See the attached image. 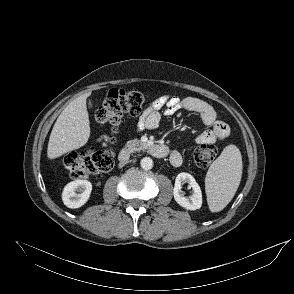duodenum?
<instances>
[{"label": "duodenum", "mask_w": 294, "mask_h": 294, "mask_svg": "<svg viewBox=\"0 0 294 294\" xmlns=\"http://www.w3.org/2000/svg\"><path fill=\"white\" fill-rule=\"evenodd\" d=\"M148 152L156 158H163L168 154V147L164 144H152L148 146ZM130 157L128 149H122L119 153L118 160L121 164H126Z\"/></svg>", "instance_id": "410a0bca"}]
</instances>
